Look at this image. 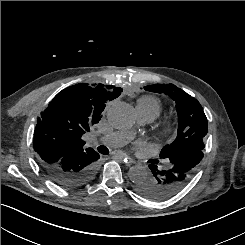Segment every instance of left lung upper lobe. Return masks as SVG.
Returning <instances> with one entry per match:
<instances>
[{"instance_id": "obj_1", "label": "left lung upper lobe", "mask_w": 245, "mask_h": 245, "mask_svg": "<svg viewBox=\"0 0 245 245\" xmlns=\"http://www.w3.org/2000/svg\"><path fill=\"white\" fill-rule=\"evenodd\" d=\"M146 91L165 93L176 102L178 114V135L170 144L163 147L160 158L186 149H204L203 139L208 131L207 118L202 106L195 98L173 84H153L144 87Z\"/></svg>"}]
</instances>
